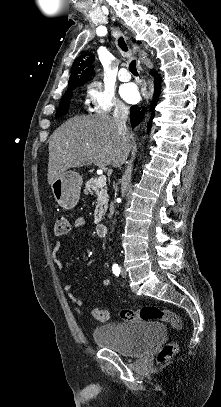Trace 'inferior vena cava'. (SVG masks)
<instances>
[{"instance_id":"1","label":"inferior vena cava","mask_w":221,"mask_h":407,"mask_svg":"<svg viewBox=\"0 0 221 407\" xmlns=\"http://www.w3.org/2000/svg\"><path fill=\"white\" fill-rule=\"evenodd\" d=\"M128 114L129 110L123 103H119L116 105L113 113V120L118 126V129L121 132L123 139H125L129 134V131L126 126Z\"/></svg>"}]
</instances>
